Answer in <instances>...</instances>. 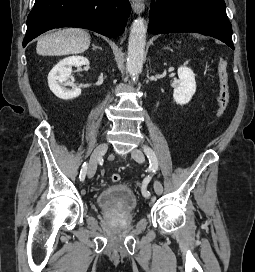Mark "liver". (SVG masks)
Masks as SVG:
<instances>
[{"mask_svg":"<svg viewBox=\"0 0 255 272\" xmlns=\"http://www.w3.org/2000/svg\"><path fill=\"white\" fill-rule=\"evenodd\" d=\"M89 45V33L78 28H68L38 39L36 52L43 56L78 54L87 50Z\"/></svg>","mask_w":255,"mask_h":272,"instance_id":"6515ba94","label":"liver"}]
</instances>
